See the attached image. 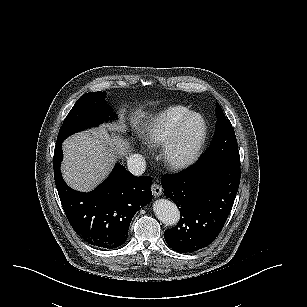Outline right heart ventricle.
<instances>
[{
  "mask_svg": "<svg viewBox=\"0 0 307 307\" xmlns=\"http://www.w3.org/2000/svg\"><path fill=\"white\" fill-rule=\"evenodd\" d=\"M183 117V109L178 104H167L151 123V136L159 142L167 141L172 136L173 129L183 120Z\"/></svg>",
  "mask_w": 307,
  "mask_h": 307,
  "instance_id": "right-heart-ventricle-1",
  "label": "right heart ventricle"
}]
</instances>
